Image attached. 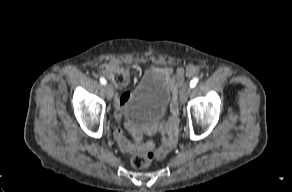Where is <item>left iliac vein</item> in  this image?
<instances>
[{
	"label": "left iliac vein",
	"instance_id": "1",
	"mask_svg": "<svg viewBox=\"0 0 292 192\" xmlns=\"http://www.w3.org/2000/svg\"><path fill=\"white\" fill-rule=\"evenodd\" d=\"M191 87L189 83H185L180 91V102L184 104L187 101Z\"/></svg>",
	"mask_w": 292,
	"mask_h": 192
}]
</instances>
